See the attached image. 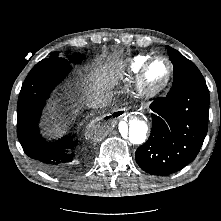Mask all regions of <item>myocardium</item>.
Returning <instances> with one entry per match:
<instances>
[{
    "mask_svg": "<svg viewBox=\"0 0 221 221\" xmlns=\"http://www.w3.org/2000/svg\"><path fill=\"white\" fill-rule=\"evenodd\" d=\"M157 59H163L167 62L169 67L168 76L161 85L150 86L147 82V73L152 63ZM173 75H174V66L172 61L164 55H153L146 61V63L143 65L142 69L138 73V77L136 79L137 90L140 93V95H142L144 98L157 97L168 89V87L172 82Z\"/></svg>",
    "mask_w": 221,
    "mask_h": 221,
    "instance_id": "1",
    "label": "myocardium"
}]
</instances>
